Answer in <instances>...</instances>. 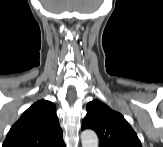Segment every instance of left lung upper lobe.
Returning <instances> with one entry per match:
<instances>
[{
	"mask_svg": "<svg viewBox=\"0 0 163 147\" xmlns=\"http://www.w3.org/2000/svg\"><path fill=\"white\" fill-rule=\"evenodd\" d=\"M86 110L82 130L93 129L99 137V147H142L137 134L120 113L99 100L89 102Z\"/></svg>",
	"mask_w": 163,
	"mask_h": 147,
	"instance_id": "obj_1",
	"label": "left lung upper lobe"
}]
</instances>
